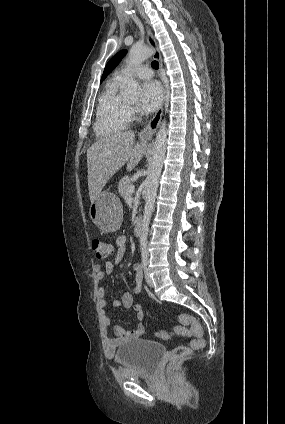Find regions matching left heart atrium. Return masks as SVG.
<instances>
[{
	"instance_id": "39dd6f15",
	"label": "left heart atrium",
	"mask_w": 285,
	"mask_h": 424,
	"mask_svg": "<svg viewBox=\"0 0 285 424\" xmlns=\"http://www.w3.org/2000/svg\"><path fill=\"white\" fill-rule=\"evenodd\" d=\"M163 99V90L156 81H145L141 87L139 108L142 111L151 112L156 110Z\"/></svg>"
}]
</instances>
